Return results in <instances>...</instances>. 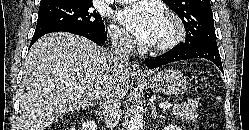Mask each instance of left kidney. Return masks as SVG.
I'll use <instances>...</instances> for the list:
<instances>
[{
	"label": "left kidney",
	"mask_w": 249,
	"mask_h": 130,
	"mask_svg": "<svg viewBox=\"0 0 249 130\" xmlns=\"http://www.w3.org/2000/svg\"><path fill=\"white\" fill-rule=\"evenodd\" d=\"M164 130H181V129L174 125H168L164 128Z\"/></svg>",
	"instance_id": "left-kidney-1"
}]
</instances>
